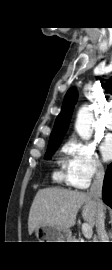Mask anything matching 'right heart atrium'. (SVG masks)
<instances>
[{
    "mask_svg": "<svg viewBox=\"0 0 112 270\" xmlns=\"http://www.w3.org/2000/svg\"><path fill=\"white\" fill-rule=\"evenodd\" d=\"M62 150L65 154L63 168L68 185L85 189L92 180L104 175L103 163L93 144L71 138L63 145Z\"/></svg>",
    "mask_w": 112,
    "mask_h": 270,
    "instance_id": "d8ad5b80",
    "label": "right heart atrium"
}]
</instances>
